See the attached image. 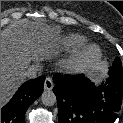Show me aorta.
Here are the masks:
<instances>
[{
    "instance_id": "762f6f07",
    "label": "aorta",
    "mask_w": 123,
    "mask_h": 123,
    "mask_svg": "<svg viewBox=\"0 0 123 123\" xmlns=\"http://www.w3.org/2000/svg\"><path fill=\"white\" fill-rule=\"evenodd\" d=\"M41 101L45 106H52L56 103L57 99L52 91L46 90L41 95Z\"/></svg>"
}]
</instances>
